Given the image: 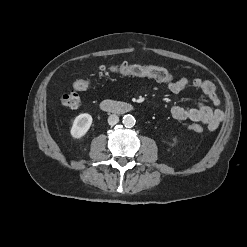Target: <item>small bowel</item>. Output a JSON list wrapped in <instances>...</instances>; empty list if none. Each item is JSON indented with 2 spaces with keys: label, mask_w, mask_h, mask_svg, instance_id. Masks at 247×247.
I'll list each match as a JSON object with an SVG mask.
<instances>
[{
  "label": "small bowel",
  "mask_w": 247,
  "mask_h": 247,
  "mask_svg": "<svg viewBox=\"0 0 247 247\" xmlns=\"http://www.w3.org/2000/svg\"><path fill=\"white\" fill-rule=\"evenodd\" d=\"M190 86L201 92L198 105L191 108L174 106L171 109L172 117L176 120H189L203 124L209 131L216 130L224 118V112L219 108L220 99L216 94V88L212 82L201 78L190 80L186 77H182L176 81L167 83V88L174 94ZM207 101H210L214 108H211L207 104Z\"/></svg>",
  "instance_id": "obj_1"
}]
</instances>
